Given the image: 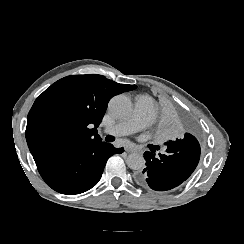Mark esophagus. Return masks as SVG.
Returning <instances> with one entry per match:
<instances>
[{"instance_id":"esophagus-1","label":"esophagus","mask_w":244,"mask_h":244,"mask_svg":"<svg viewBox=\"0 0 244 244\" xmlns=\"http://www.w3.org/2000/svg\"><path fill=\"white\" fill-rule=\"evenodd\" d=\"M124 149H125V151L128 152V153H132V152L135 151L131 146H125Z\"/></svg>"}]
</instances>
